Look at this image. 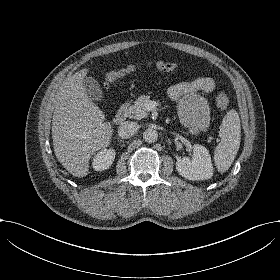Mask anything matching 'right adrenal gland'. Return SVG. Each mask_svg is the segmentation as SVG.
<instances>
[{"label": "right adrenal gland", "mask_w": 280, "mask_h": 280, "mask_svg": "<svg viewBox=\"0 0 280 280\" xmlns=\"http://www.w3.org/2000/svg\"><path fill=\"white\" fill-rule=\"evenodd\" d=\"M117 141L120 142V143H124V141L120 140L119 138H117Z\"/></svg>", "instance_id": "1"}]
</instances>
